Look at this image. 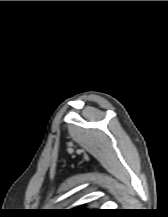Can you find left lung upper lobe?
<instances>
[{
    "label": "left lung upper lobe",
    "mask_w": 168,
    "mask_h": 217,
    "mask_svg": "<svg viewBox=\"0 0 168 217\" xmlns=\"http://www.w3.org/2000/svg\"><path fill=\"white\" fill-rule=\"evenodd\" d=\"M74 209H75L74 211H69V213H73L76 215H84V214L90 213L89 211H86L85 209H83L81 206L74 208Z\"/></svg>",
    "instance_id": "1"
}]
</instances>
